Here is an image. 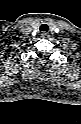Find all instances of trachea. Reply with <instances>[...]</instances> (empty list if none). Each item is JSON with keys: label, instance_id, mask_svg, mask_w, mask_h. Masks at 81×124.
<instances>
[{"label": "trachea", "instance_id": "obj_1", "mask_svg": "<svg viewBox=\"0 0 81 124\" xmlns=\"http://www.w3.org/2000/svg\"><path fill=\"white\" fill-rule=\"evenodd\" d=\"M39 29H40L41 32H48L49 26L44 23V24H41Z\"/></svg>", "mask_w": 81, "mask_h": 124}]
</instances>
